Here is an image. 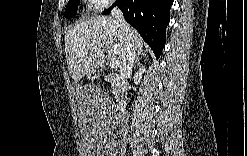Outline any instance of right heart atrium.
I'll return each instance as SVG.
<instances>
[{"label": "right heart atrium", "mask_w": 247, "mask_h": 156, "mask_svg": "<svg viewBox=\"0 0 247 156\" xmlns=\"http://www.w3.org/2000/svg\"><path fill=\"white\" fill-rule=\"evenodd\" d=\"M110 1L108 0H93L91 4L98 10L101 11L107 8L110 5Z\"/></svg>", "instance_id": "right-heart-atrium-1"}]
</instances>
